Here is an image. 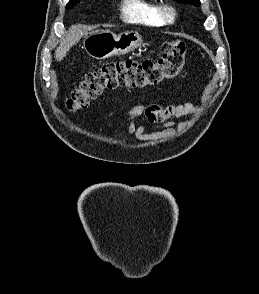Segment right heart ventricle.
I'll list each match as a JSON object with an SVG mask.
<instances>
[{
	"instance_id": "1",
	"label": "right heart ventricle",
	"mask_w": 259,
	"mask_h": 294,
	"mask_svg": "<svg viewBox=\"0 0 259 294\" xmlns=\"http://www.w3.org/2000/svg\"><path fill=\"white\" fill-rule=\"evenodd\" d=\"M156 8L151 0H122L121 16L128 23L157 27L162 22L157 16Z\"/></svg>"
}]
</instances>
